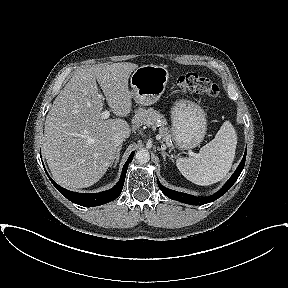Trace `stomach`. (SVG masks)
<instances>
[{"label":"stomach","mask_w":288,"mask_h":288,"mask_svg":"<svg viewBox=\"0 0 288 288\" xmlns=\"http://www.w3.org/2000/svg\"><path fill=\"white\" fill-rule=\"evenodd\" d=\"M168 80L166 66L142 65L134 70L130 78L132 98L141 106L152 105L165 91ZM171 121V135L178 149H192L203 141L207 120L198 104L190 100H178L171 109Z\"/></svg>","instance_id":"stomach-1"}]
</instances>
